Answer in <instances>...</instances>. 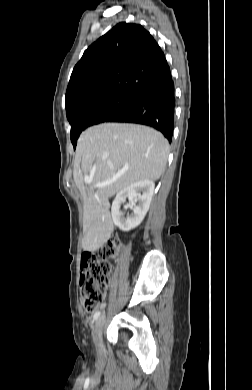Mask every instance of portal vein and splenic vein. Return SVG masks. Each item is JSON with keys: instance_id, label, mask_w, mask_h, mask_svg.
<instances>
[{"instance_id": "portal-vein-and-splenic-vein-1", "label": "portal vein and splenic vein", "mask_w": 252, "mask_h": 390, "mask_svg": "<svg viewBox=\"0 0 252 390\" xmlns=\"http://www.w3.org/2000/svg\"><path fill=\"white\" fill-rule=\"evenodd\" d=\"M115 180H116V178L113 179V180H110V181H108V182L98 183V184L96 185V187H105V186H107V185H109V184H112ZM84 181H85L86 183H91V182H92V178L89 177V176H85V177H84Z\"/></svg>"}]
</instances>
